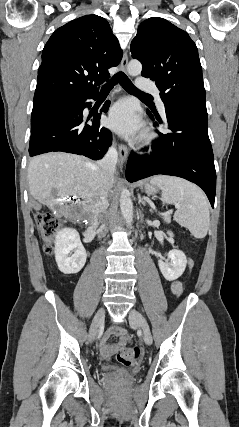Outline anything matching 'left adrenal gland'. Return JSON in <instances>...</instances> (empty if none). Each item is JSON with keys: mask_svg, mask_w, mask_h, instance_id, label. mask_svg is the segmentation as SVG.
<instances>
[{"mask_svg": "<svg viewBox=\"0 0 239 427\" xmlns=\"http://www.w3.org/2000/svg\"><path fill=\"white\" fill-rule=\"evenodd\" d=\"M138 204H142V205H146V203H145V201H144V199L142 198V196L140 195V194H138Z\"/></svg>", "mask_w": 239, "mask_h": 427, "instance_id": "obj_1", "label": "left adrenal gland"}]
</instances>
